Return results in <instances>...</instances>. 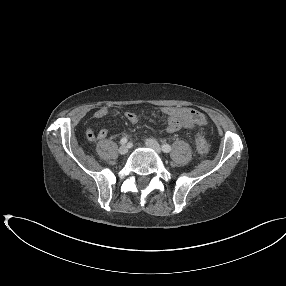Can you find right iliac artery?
Segmentation results:
<instances>
[{"mask_svg":"<svg viewBox=\"0 0 286 286\" xmlns=\"http://www.w3.org/2000/svg\"><path fill=\"white\" fill-rule=\"evenodd\" d=\"M128 139L126 137H123L121 140H120V143L122 145H125L127 143Z\"/></svg>","mask_w":286,"mask_h":286,"instance_id":"obj_1","label":"right iliac artery"}]
</instances>
